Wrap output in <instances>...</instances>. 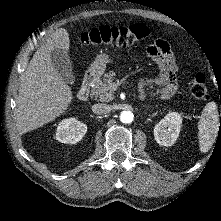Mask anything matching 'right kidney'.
I'll return each mask as SVG.
<instances>
[{
  "instance_id": "obj_1",
  "label": "right kidney",
  "mask_w": 221,
  "mask_h": 221,
  "mask_svg": "<svg viewBox=\"0 0 221 221\" xmlns=\"http://www.w3.org/2000/svg\"><path fill=\"white\" fill-rule=\"evenodd\" d=\"M87 132V126L75 118L62 120L56 130V139L61 143L75 144Z\"/></svg>"
}]
</instances>
